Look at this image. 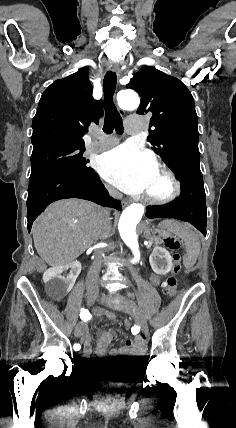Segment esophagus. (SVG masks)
<instances>
[{
  "label": "esophagus",
  "mask_w": 236,
  "mask_h": 428,
  "mask_svg": "<svg viewBox=\"0 0 236 428\" xmlns=\"http://www.w3.org/2000/svg\"><path fill=\"white\" fill-rule=\"evenodd\" d=\"M109 68L113 72L119 73V65L117 63L110 64ZM120 113H121L122 116L125 115V112L123 110H120Z\"/></svg>",
  "instance_id": "obj_1"
}]
</instances>
